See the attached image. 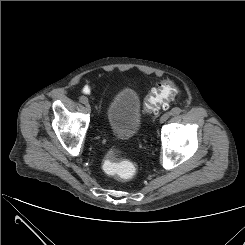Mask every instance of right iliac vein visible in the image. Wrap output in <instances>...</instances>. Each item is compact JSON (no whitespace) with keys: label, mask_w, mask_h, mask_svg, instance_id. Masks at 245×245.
Instances as JSON below:
<instances>
[{"label":"right iliac vein","mask_w":245,"mask_h":245,"mask_svg":"<svg viewBox=\"0 0 245 245\" xmlns=\"http://www.w3.org/2000/svg\"><path fill=\"white\" fill-rule=\"evenodd\" d=\"M83 98H84V101L82 103L85 104V106L89 109L90 106H89V103H88V99L86 97H83Z\"/></svg>","instance_id":"obj_1"}]
</instances>
